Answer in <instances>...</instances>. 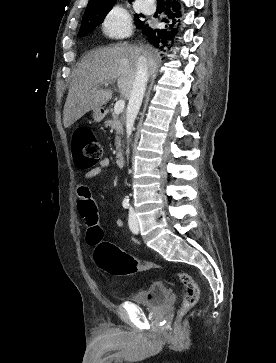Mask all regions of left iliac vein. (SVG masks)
Listing matches in <instances>:
<instances>
[{
  "instance_id": "left-iliac-vein-1",
  "label": "left iliac vein",
  "mask_w": 276,
  "mask_h": 363,
  "mask_svg": "<svg viewBox=\"0 0 276 363\" xmlns=\"http://www.w3.org/2000/svg\"><path fill=\"white\" fill-rule=\"evenodd\" d=\"M128 223L131 232L137 234L139 231V222L133 208L130 209Z\"/></svg>"
}]
</instances>
